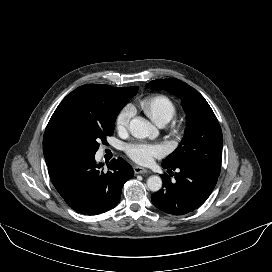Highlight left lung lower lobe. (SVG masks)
<instances>
[{
  "label": "left lung lower lobe",
  "instance_id": "0a47b994",
  "mask_svg": "<svg viewBox=\"0 0 272 272\" xmlns=\"http://www.w3.org/2000/svg\"><path fill=\"white\" fill-rule=\"evenodd\" d=\"M170 176L162 175L163 188L152 194V203L161 211L184 215L200 207L212 193L219 175L188 164L168 166ZM172 171H176L174 174Z\"/></svg>",
  "mask_w": 272,
  "mask_h": 272
}]
</instances>
